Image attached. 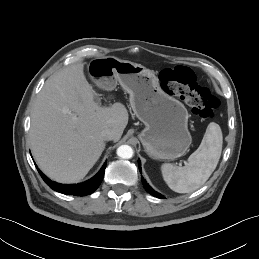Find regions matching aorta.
Instances as JSON below:
<instances>
[{"label":"aorta","instance_id":"1","mask_svg":"<svg viewBox=\"0 0 259 259\" xmlns=\"http://www.w3.org/2000/svg\"><path fill=\"white\" fill-rule=\"evenodd\" d=\"M133 153V149L129 145H121L117 148V155L122 159L131 158Z\"/></svg>","mask_w":259,"mask_h":259}]
</instances>
